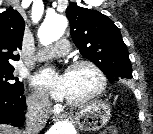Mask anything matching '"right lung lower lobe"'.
I'll return each mask as SVG.
<instances>
[{
    "label": "right lung lower lobe",
    "instance_id": "right-lung-lower-lobe-1",
    "mask_svg": "<svg viewBox=\"0 0 153 134\" xmlns=\"http://www.w3.org/2000/svg\"><path fill=\"white\" fill-rule=\"evenodd\" d=\"M23 93L24 91L18 94L0 91V124H11L18 127L23 124L26 108Z\"/></svg>",
    "mask_w": 153,
    "mask_h": 134
}]
</instances>
